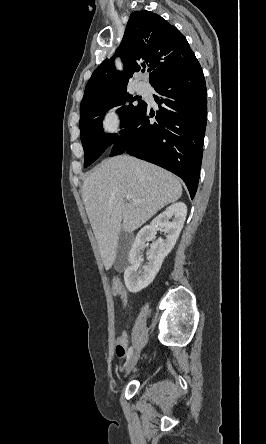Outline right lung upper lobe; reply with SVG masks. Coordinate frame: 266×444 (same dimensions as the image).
I'll list each match as a JSON object with an SVG mask.
<instances>
[{
    "label": "right lung upper lobe",
    "mask_w": 266,
    "mask_h": 444,
    "mask_svg": "<svg viewBox=\"0 0 266 444\" xmlns=\"http://www.w3.org/2000/svg\"><path fill=\"white\" fill-rule=\"evenodd\" d=\"M124 63L114 67L115 56L104 60L88 81L81 105L108 93L126 89L134 72L147 64L153 70L151 85L187 70L197 59L186 38L161 16L150 11L133 12L116 51Z\"/></svg>",
    "instance_id": "obj_1"
}]
</instances>
